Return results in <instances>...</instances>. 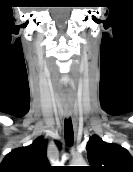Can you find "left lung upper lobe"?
I'll use <instances>...</instances> for the list:
<instances>
[{
    "label": "left lung upper lobe",
    "mask_w": 133,
    "mask_h": 172,
    "mask_svg": "<svg viewBox=\"0 0 133 172\" xmlns=\"http://www.w3.org/2000/svg\"><path fill=\"white\" fill-rule=\"evenodd\" d=\"M90 166L85 172H133V158L120 145L104 142L92 136L86 146Z\"/></svg>",
    "instance_id": "5c2ea615"
}]
</instances>
